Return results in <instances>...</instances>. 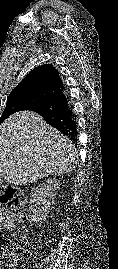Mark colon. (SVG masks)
Here are the masks:
<instances>
[{
  "label": "colon",
  "instance_id": "1",
  "mask_svg": "<svg viewBox=\"0 0 118 269\" xmlns=\"http://www.w3.org/2000/svg\"><path fill=\"white\" fill-rule=\"evenodd\" d=\"M0 203L7 208L13 221L23 223L27 219L24 194L14 186L0 185ZM25 244V239L18 235L5 250L0 253V269H13L18 249Z\"/></svg>",
  "mask_w": 118,
  "mask_h": 269
}]
</instances>
